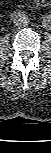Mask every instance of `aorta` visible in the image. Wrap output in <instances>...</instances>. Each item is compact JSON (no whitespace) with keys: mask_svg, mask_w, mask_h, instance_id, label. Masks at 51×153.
I'll return each mask as SVG.
<instances>
[{"mask_svg":"<svg viewBox=\"0 0 51 153\" xmlns=\"http://www.w3.org/2000/svg\"><path fill=\"white\" fill-rule=\"evenodd\" d=\"M42 27L45 31H51V15H44Z\"/></svg>","mask_w":51,"mask_h":153,"instance_id":"762f6f07","label":"aorta"}]
</instances>
